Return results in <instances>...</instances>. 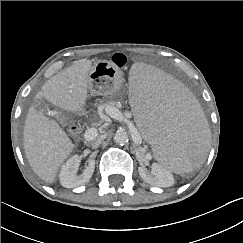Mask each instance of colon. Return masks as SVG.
Returning a JSON list of instances; mask_svg holds the SVG:
<instances>
[{"instance_id":"colon-1","label":"colon","mask_w":243,"mask_h":243,"mask_svg":"<svg viewBox=\"0 0 243 243\" xmlns=\"http://www.w3.org/2000/svg\"><path fill=\"white\" fill-rule=\"evenodd\" d=\"M127 58L122 53H116L111 57V62L118 68H122L126 64Z\"/></svg>"}]
</instances>
